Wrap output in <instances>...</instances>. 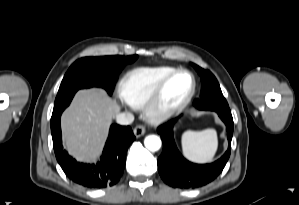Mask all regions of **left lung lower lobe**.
<instances>
[{
  "label": "left lung lower lobe",
  "mask_w": 299,
  "mask_h": 205,
  "mask_svg": "<svg viewBox=\"0 0 299 205\" xmlns=\"http://www.w3.org/2000/svg\"><path fill=\"white\" fill-rule=\"evenodd\" d=\"M196 108L217 112L226 125L228 150L214 163L202 165L191 163L180 154L174 142L173 126L177 119L161 125L158 133L163 142V152L158 158V171L163 181L174 188L193 189L206 185L222 172L230 156L234 124L228 103L196 106Z\"/></svg>",
  "instance_id": "0a47b994"
}]
</instances>
